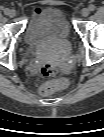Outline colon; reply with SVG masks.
I'll use <instances>...</instances> for the list:
<instances>
[{"label": "colon", "instance_id": "colon-1", "mask_svg": "<svg viewBox=\"0 0 104 137\" xmlns=\"http://www.w3.org/2000/svg\"><path fill=\"white\" fill-rule=\"evenodd\" d=\"M40 73L45 77H52L56 75L57 68L52 65L46 64L40 68ZM61 86L62 84L59 82H49L42 85L39 89V92L43 96H49L54 92L58 91L61 88Z\"/></svg>", "mask_w": 104, "mask_h": 137}]
</instances>
